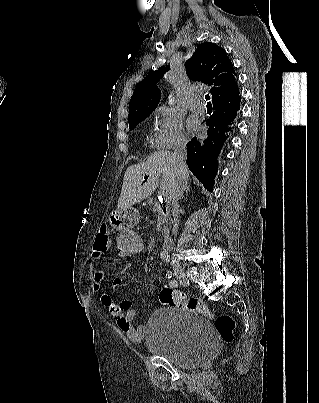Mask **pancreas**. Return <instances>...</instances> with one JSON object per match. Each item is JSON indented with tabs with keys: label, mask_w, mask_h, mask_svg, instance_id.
Here are the masks:
<instances>
[{
	"label": "pancreas",
	"mask_w": 319,
	"mask_h": 403,
	"mask_svg": "<svg viewBox=\"0 0 319 403\" xmlns=\"http://www.w3.org/2000/svg\"><path fill=\"white\" fill-rule=\"evenodd\" d=\"M153 212L156 214L157 217V230H168V210H164L163 206L159 202H154Z\"/></svg>",
	"instance_id": "1"
}]
</instances>
